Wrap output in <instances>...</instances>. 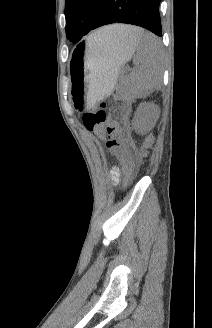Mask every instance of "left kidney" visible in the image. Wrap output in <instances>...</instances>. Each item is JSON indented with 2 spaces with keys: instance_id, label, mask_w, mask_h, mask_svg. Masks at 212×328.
<instances>
[{
  "instance_id": "obj_1",
  "label": "left kidney",
  "mask_w": 212,
  "mask_h": 328,
  "mask_svg": "<svg viewBox=\"0 0 212 328\" xmlns=\"http://www.w3.org/2000/svg\"><path fill=\"white\" fill-rule=\"evenodd\" d=\"M159 117V108L153 103H141L135 113L133 125L138 133L150 131Z\"/></svg>"
}]
</instances>
